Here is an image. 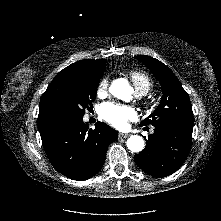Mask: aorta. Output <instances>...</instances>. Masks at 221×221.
Returning a JSON list of instances; mask_svg holds the SVG:
<instances>
[{
  "label": "aorta",
  "instance_id": "aorta-1",
  "mask_svg": "<svg viewBox=\"0 0 221 221\" xmlns=\"http://www.w3.org/2000/svg\"><path fill=\"white\" fill-rule=\"evenodd\" d=\"M110 93L121 100H128L131 98L133 89L127 79L119 78L111 83ZM144 146V139L139 135L130 136L127 140V147L131 152H140Z\"/></svg>",
  "mask_w": 221,
  "mask_h": 221
}]
</instances>
